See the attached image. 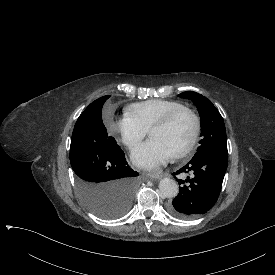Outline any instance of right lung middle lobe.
Returning <instances> with one entry per match:
<instances>
[{
	"instance_id": "dd1d6c3e",
	"label": "right lung middle lobe",
	"mask_w": 275,
	"mask_h": 275,
	"mask_svg": "<svg viewBox=\"0 0 275 275\" xmlns=\"http://www.w3.org/2000/svg\"><path fill=\"white\" fill-rule=\"evenodd\" d=\"M110 95L92 102L78 118L70 146L77 189L96 215L119 218L130 209L139 173L128 166L124 152L102 122V107Z\"/></svg>"
}]
</instances>
